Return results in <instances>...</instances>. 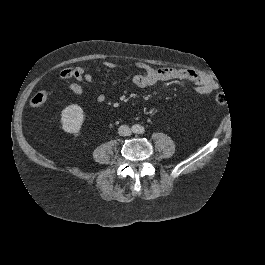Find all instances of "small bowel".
<instances>
[{
	"instance_id": "1",
	"label": "small bowel",
	"mask_w": 265,
	"mask_h": 265,
	"mask_svg": "<svg viewBox=\"0 0 265 265\" xmlns=\"http://www.w3.org/2000/svg\"><path fill=\"white\" fill-rule=\"evenodd\" d=\"M103 66L107 69H116L120 65L117 61H105ZM136 67L141 69L142 73H137L132 77V82L139 88L152 86L158 82L171 80H186L191 81L196 85V91L199 94H210L218 88L215 80L201 72L190 69H175V68H152L144 63H136ZM75 69L74 79L68 86V89L76 95L84 93V84L93 82V75L86 71L84 67ZM97 101L102 103L105 101V95L98 94Z\"/></svg>"
}]
</instances>
